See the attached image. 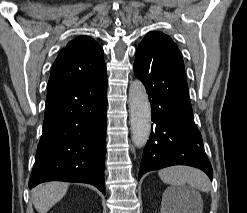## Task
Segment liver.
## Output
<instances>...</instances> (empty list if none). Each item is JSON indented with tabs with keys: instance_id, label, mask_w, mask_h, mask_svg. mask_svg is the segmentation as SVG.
I'll return each mask as SVG.
<instances>
[{
	"instance_id": "6515ba94",
	"label": "liver",
	"mask_w": 247,
	"mask_h": 213,
	"mask_svg": "<svg viewBox=\"0 0 247 213\" xmlns=\"http://www.w3.org/2000/svg\"><path fill=\"white\" fill-rule=\"evenodd\" d=\"M69 184L64 182H48L36 186L32 190V202L39 213H46L60 201L67 192Z\"/></svg>"
}]
</instances>
